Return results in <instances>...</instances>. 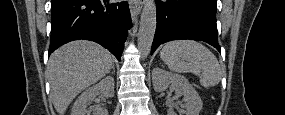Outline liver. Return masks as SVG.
<instances>
[{
	"label": "liver",
	"instance_id": "liver-1",
	"mask_svg": "<svg viewBox=\"0 0 285 115\" xmlns=\"http://www.w3.org/2000/svg\"><path fill=\"white\" fill-rule=\"evenodd\" d=\"M111 54L102 46L85 40L70 42L50 56L47 72L51 98L59 115L84 89L109 73Z\"/></svg>",
	"mask_w": 285,
	"mask_h": 115
}]
</instances>
